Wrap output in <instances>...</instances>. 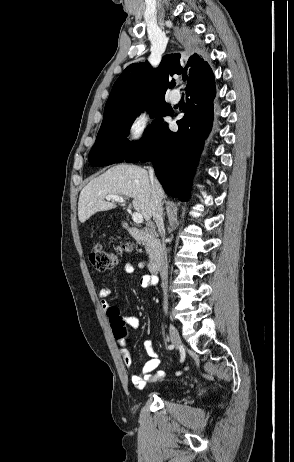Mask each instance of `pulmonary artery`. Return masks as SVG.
<instances>
[{
	"label": "pulmonary artery",
	"mask_w": 294,
	"mask_h": 462,
	"mask_svg": "<svg viewBox=\"0 0 294 462\" xmlns=\"http://www.w3.org/2000/svg\"><path fill=\"white\" fill-rule=\"evenodd\" d=\"M169 100L172 103H177L180 100V93L178 90H172L169 94Z\"/></svg>",
	"instance_id": "obj_1"
}]
</instances>
